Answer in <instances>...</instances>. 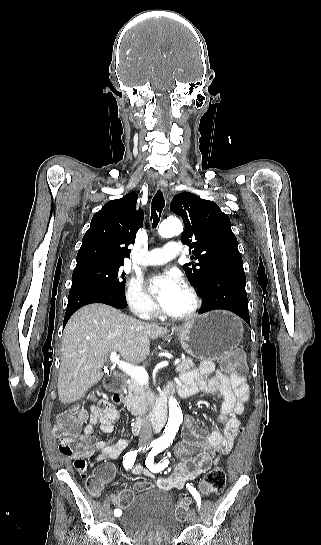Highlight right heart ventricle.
Masks as SVG:
<instances>
[{
    "label": "right heart ventricle",
    "mask_w": 321,
    "mask_h": 545,
    "mask_svg": "<svg viewBox=\"0 0 321 545\" xmlns=\"http://www.w3.org/2000/svg\"><path fill=\"white\" fill-rule=\"evenodd\" d=\"M162 315H163L162 312H159V316H162Z\"/></svg>",
    "instance_id": "e07e8e85"
}]
</instances>
